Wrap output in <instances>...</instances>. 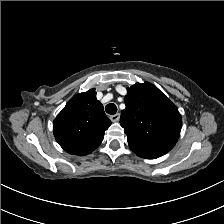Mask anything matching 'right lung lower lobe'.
<instances>
[{"instance_id": "obj_1", "label": "right lung lower lobe", "mask_w": 224, "mask_h": 224, "mask_svg": "<svg viewBox=\"0 0 224 224\" xmlns=\"http://www.w3.org/2000/svg\"><path fill=\"white\" fill-rule=\"evenodd\" d=\"M61 145V147L65 150V151H67L68 153H70V154H76V152H77V149H76V147H74L73 145H71V144H65V143H63V144H60ZM77 155V154H76Z\"/></svg>"}]
</instances>
